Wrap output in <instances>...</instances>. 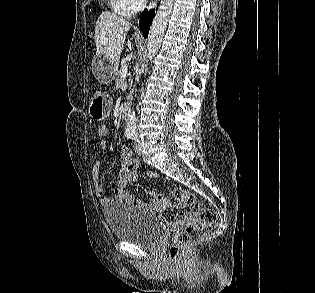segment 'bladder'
Wrapping results in <instances>:
<instances>
[{"mask_svg": "<svg viewBox=\"0 0 315 293\" xmlns=\"http://www.w3.org/2000/svg\"><path fill=\"white\" fill-rule=\"evenodd\" d=\"M112 234L119 240L142 248L153 247L162 230L147 212L126 202H114L103 211Z\"/></svg>", "mask_w": 315, "mask_h": 293, "instance_id": "31cf9c89", "label": "bladder"}]
</instances>
